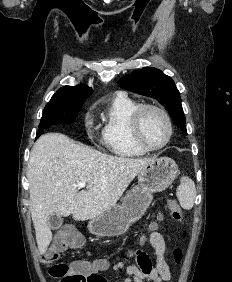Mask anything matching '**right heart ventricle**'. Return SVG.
<instances>
[{
  "label": "right heart ventricle",
  "instance_id": "1",
  "mask_svg": "<svg viewBox=\"0 0 232 282\" xmlns=\"http://www.w3.org/2000/svg\"><path fill=\"white\" fill-rule=\"evenodd\" d=\"M139 105L124 93L117 94L107 105L102 143L112 154L120 157H139L147 152L133 141L130 132V117Z\"/></svg>",
  "mask_w": 232,
  "mask_h": 282
}]
</instances>
